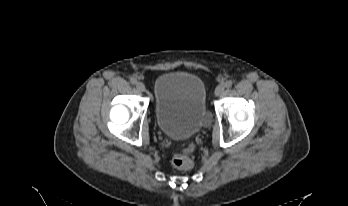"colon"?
I'll return each instance as SVG.
<instances>
[{"instance_id":"1","label":"colon","mask_w":348,"mask_h":206,"mask_svg":"<svg viewBox=\"0 0 348 206\" xmlns=\"http://www.w3.org/2000/svg\"><path fill=\"white\" fill-rule=\"evenodd\" d=\"M192 146L184 150L181 154H176L171 159V164L174 168L179 170H189L193 166V162L189 157Z\"/></svg>"}]
</instances>
